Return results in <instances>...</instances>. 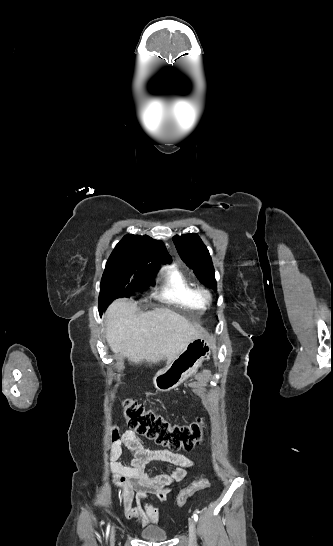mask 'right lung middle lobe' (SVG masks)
<instances>
[{"label":"right lung middle lobe","instance_id":"obj_1","mask_svg":"<svg viewBox=\"0 0 333 546\" xmlns=\"http://www.w3.org/2000/svg\"><path fill=\"white\" fill-rule=\"evenodd\" d=\"M141 273L129 271L124 264L108 260L100 284L99 308L101 312L116 298L133 293L129 282ZM147 281V280H144ZM150 281V280H149ZM152 282V281H150Z\"/></svg>","mask_w":333,"mask_h":546}]
</instances>
